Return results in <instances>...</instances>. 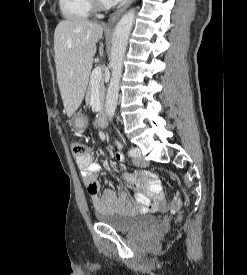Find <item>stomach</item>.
<instances>
[{"label": "stomach", "mask_w": 247, "mask_h": 275, "mask_svg": "<svg viewBox=\"0 0 247 275\" xmlns=\"http://www.w3.org/2000/svg\"><path fill=\"white\" fill-rule=\"evenodd\" d=\"M71 123L74 128L80 131L86 127V119L80 113H77L72 117Z\"/></svg>", "instance_id": "stomach-1"}]
</instances>
